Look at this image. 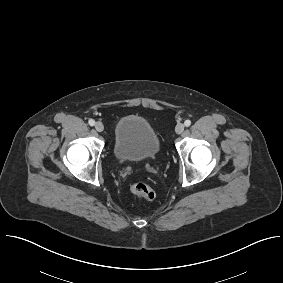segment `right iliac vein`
<instances>
[{
  "label": "right iliac vein",
  "instance_id": "right-iliac-vein-1",
  "mask_svg": "<svg viewBox=\"0 0 283 283\" xmlns=\"http://www.w3.org/2000/svg\"><path fill=\"white\" fill-rule=\"evenodd\" d=\"M95 129L98 131V132H102L104 130V125L101 123V122H96L95 124Z\"/></svg>",
  "mask_w": 283,
  "mask_h": 283
}]
</instances>
